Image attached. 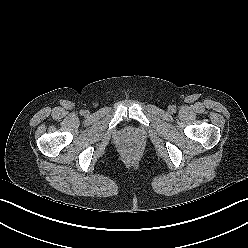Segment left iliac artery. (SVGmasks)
Returning <instances> with one entry per match:
<instances>
[{
    "label": "left iliac artery",
    "instance_id": "1",
    "mask_svg": "<svg viewBox=\"0 0 248 248\" xmlns=\"http://www.w3.org/2000/svg\"><path fill=\"white\" fill-rule=\"evenodd\" d=\"M172 110L173 111H176V106H172Z\"/></svg>",
    "mask_w": 248,
    "mask_h": 248
}]
</instances>
